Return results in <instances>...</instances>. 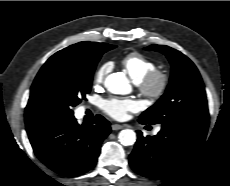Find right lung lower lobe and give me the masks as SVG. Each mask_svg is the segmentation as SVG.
<instances>
[{
    "mask_svg": "<svg viewBox=\"0 0 230 186\" xmlns=\"http://www.w3.org/2000/svg\"><path fill=\"white\" fill-rule=\"evenodd\" d=\"M93 125H78L74 117L46 119L26 128L36 156L51 170L77 176L97 162L102 141L111 132L110 123L97 115Z\"/></svg>",
    "mask_w": 230,
    "mask_h": 186,
    "instance_id": "obj_1",
    "label": "right lung lower lobe"
}]
</instances>
